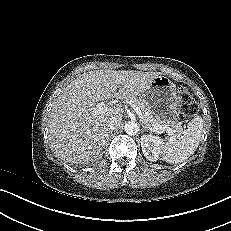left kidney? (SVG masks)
<instances>
[{"instance_id":"obj_1","label":"left kidney","mask_w":231,"mask_h":231,"mask_svg":"<svg viewBox=\"0 0 231 231\" xmlns=\"http://www.w3.org/2000/svg\"><path fill=\"white\" fill-rule=\"evenodd\" d=\"M141 148L144 156L149 161H157L159 158L162 141L157 136L143 135L141 136Z\"/></svg>"}]
</instances>
